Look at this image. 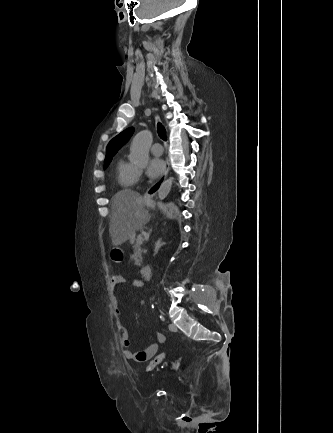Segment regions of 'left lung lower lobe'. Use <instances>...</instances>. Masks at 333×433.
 Listing matches in <instances>:
<instances>
[{
  "label": "left lung lower lobe",
  "instance_id": "obj_1",
  "mask_svg": "<svg viewBox=\"0 0 333 433\" xmlns=\"http://www.w3.org/2000/svg\"><path fill=\"white\" fill-rule=\"evenodd\" d=\"M174 210H175V208H174V206L171 204V205L168 207V212L171 214Z\"/></svg>",
  "mask_w": 333,
  "mask_h": 433
}]
</instances>
